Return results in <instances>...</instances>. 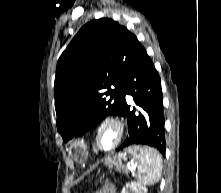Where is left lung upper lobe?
I'll list each match as a JSON object with an SVG mask.
<instances>
[{
    "instance_id": "left-lung-upper-lobe-1",
    "label": "left lung upper lobe",
    "mask_w": 221,
    "mask_h": 193,
    "mask_svg": "<svg viewBox=\"0 0 221 193\" xmlns=\"http://www.w3.org/2000/svg\"><path fill=\"white\" fill-rule=\"evenodd\" d=\"M140 45L134 34L108 18L90 21L73 38L58 60L54 84L57 129L65 142L108 115H122V81ZM158 118L149 107L148 124Z\"/></svg>"
}]
</instances>
